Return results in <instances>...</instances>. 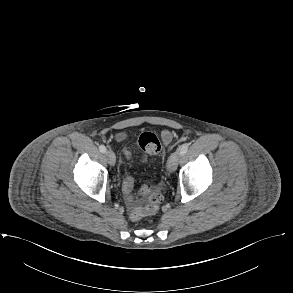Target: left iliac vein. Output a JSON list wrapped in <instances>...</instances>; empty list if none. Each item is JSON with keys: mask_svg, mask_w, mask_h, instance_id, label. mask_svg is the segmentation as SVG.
Here are the masks:
<instances>
[{"mask_svg": "<svg viewBox=\"0 0 293 293\" xmlns=\"http://www.w3.org/2000/svg\"><path fill=\"white\" fill-rule=\"evenodd\" d=\"M180 156L181 154L179 153V151H175L170 155L167 161V169L169 172L172 173L176 170Z\"/></svg>", "mask_w": 293, "mask_h": 293, "instance_id": "obj_1", "label": "left iliac vein"}]
</instances>
